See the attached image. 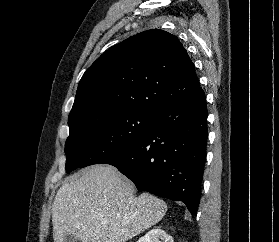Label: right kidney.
<instances>
[{
    "mask_svg": "<svg viewBox=\"0 0 279 242\" xmlns=\"http://www.w3.org/2000/svg\"><path fill=\"white\" fill-rule=\"evenodd\" d=\"M160 240L163 242H174L173 237L159 227L148 231L137 242H161Z\"/></svg>",
    "mask_w": 279,
    "mask_h": 242,
    "instance_id": "obj_1",
    "label": "right kidney"
}]
</instances>
